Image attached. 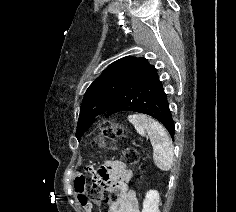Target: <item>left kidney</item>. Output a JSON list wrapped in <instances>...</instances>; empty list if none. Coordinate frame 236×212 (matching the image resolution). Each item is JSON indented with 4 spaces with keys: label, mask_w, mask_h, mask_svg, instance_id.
<instances>
[{
    "label": "left kidney",
    "mask_w": 236,
    "mask_h": 212,
    "mask_svg": "<svg viewBox=\"0 0 236 212\" xmlns=\"http://www.w3.org/2000/svg\"><path fill=\"white\" fill-rule=\"evenodd\" d=\"M160 196L158 191L150 190L143 201L142 212H159Z\"/></svg>",
    "instance_id": "left-kidney-1"
}]
</instances>
